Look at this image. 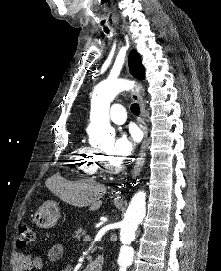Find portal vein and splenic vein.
Returning <instances> with one entry per match:
<instances>
[{"label": "portal vein and splenic vein", "instance_id": "portal-vein-and-splenic-vein-1", "mask_svg": "<svg viewBox=\"0 0 221 271\" xmlns=\"http://www.w3.org/2000/svg\"><path fill=\"white\" fill-rule=\"evenodd\" d=\"M84 242H91V236L89 234L84 237Z\"/></svg>", "mask_w": 221, "mask_h": 271}]
</instances>
